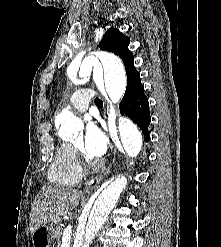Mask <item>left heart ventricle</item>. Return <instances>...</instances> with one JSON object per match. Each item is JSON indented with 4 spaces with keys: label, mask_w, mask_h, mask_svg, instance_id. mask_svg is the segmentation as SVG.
Returning a JSON list of instances; mask_svg holds the SVG:
<instances>
[{
    "label": "left heart ventricle",
    "mask_w": 221,
    "mask_h": 247,
    "mask_svg": "<svg viewBox=\"0 0 221 247\" xmlns=\"http://www.w3.org/2000/svg\"><path fill=\"white\" fill-rule=\"evenodd\" d=\"M75 145L78 146V147H80V148H82V146H83L82 138H80L79 140H77V141L75 142Z\"/></svg>",
    "instance_id": "obj_1"
}]
</instances>
